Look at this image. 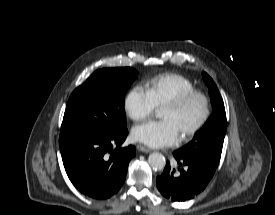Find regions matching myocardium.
<instances>
[{"mask_svg":"<svg viewBox=\"0 0 275 215\" xmlns=\"http://www.w3.org/2000/svg\"><path fill=\"white\" fill-rule=\"evenodd\" d=\"M196 97H199L202 99L204 104V112L200 120L192 128H190L188 131H186L182 135L183 140H188L194 137L207 124L211 116V102L208 95L200 90H192L177 96L176 98L168 101L163 105V107L181 109Z\"/></svg>","mask_w":275,"mask_h":215,"instance_id":"myocardium-1","label":"myocardium"}]
</instances>
